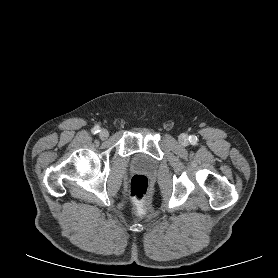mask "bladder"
<instances>
[{"instance_id": "1", "label": "bladder", "mask_w": 278, "mask_h": 278, "mask_svg": "<svg viewBox=\"0 0 278 278\" xmlns=\"http://www.w3.org/2000/svg\"><path fill=\"white\" fill-rule=\"evenodd\" d=\"M131 164L133 168L145 171H151L154 169L153 160L146 154L137 153L133 156Z\"/></svg>"}]
</instances>
